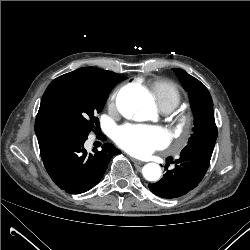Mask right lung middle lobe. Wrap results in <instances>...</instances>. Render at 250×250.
Listing matches in <instances>:
<instances>
[{
	"mask_svg": "<svg viewBox=\"0 0 250 250\" xmlns=\"http://www.w3.org/2000/svg\"><path fill=\"white\" fill-rule=\"evenodd\" d=\"M126 79L115 74L108 78H69L47 88L37 115L43 130H76L90 133L98 124L112 88Z\"/></svg>",
	"mask_w": 250,
	"mask_h": 250,
	"instance_id": "obj_1",
	"label": "right lung middle lobe"
}]
</instances>
